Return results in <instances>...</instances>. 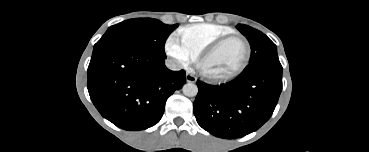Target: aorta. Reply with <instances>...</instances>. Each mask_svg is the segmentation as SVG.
<instances>
[{
    "label": "aorta",
    "mask_w": 369,
    "mask_h": 152,
    "mask_svg": "<svg viewBox=\"0 0 369 152\" xmlns=\"http://www.w3.org/2000/svg\"><path fill=\"white\" fill-rule=\"evenodd\" d=\"M183 94L187 97H194L198 93V87L196 84L188 82L182 87Z\"/></svg>",
    "instance_id": "762f6f07"
}]
</instances>
